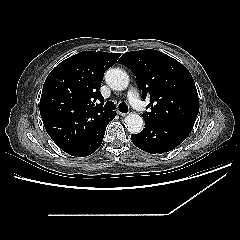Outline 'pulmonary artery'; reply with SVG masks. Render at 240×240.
I'll return each instance as SVG.
<instances>
[{"label":"pulmonary artery","mask_w":240,"mask_h":240,"mask_svg":"<svg viewBox=\"0 0 240 240\" xmlns=\"http://www.w3.org/2000/svg\"><path fill=\"white\" fill-rule=\"evenodd\" d=\"M128 100L132 107L141 111L144 108V103L139 99L137 92L130 90L127 94Z\"/></svg>","instance_id":"e3ab8cb5"}]
</instances>
